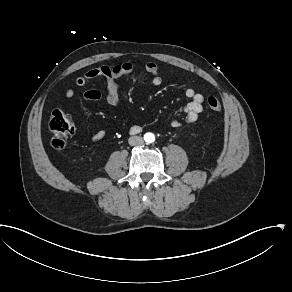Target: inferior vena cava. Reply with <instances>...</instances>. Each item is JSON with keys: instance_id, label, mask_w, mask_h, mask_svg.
<instances>
[{"instance_id": "602c4592", "label": "inferior vena cava", "mask_w": 292, "mask_h": 292, "mask_svg": "<svg viewBox=\"0 0 292 292\" xmlns=\"http://www.w3.org/2000/svg\"><path fill=\"white\" fill-rule=\"evenodd\" d=\"M128 143L131 146H135V145H142L144 143V140L142 137L140 136H132L128 139Z\"/></svg>"}]
</instances>
